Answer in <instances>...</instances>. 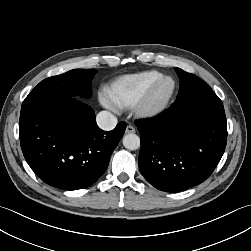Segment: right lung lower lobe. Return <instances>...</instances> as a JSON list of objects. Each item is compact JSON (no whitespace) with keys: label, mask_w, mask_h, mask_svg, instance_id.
<instances>
[{"label":"right lung lower lobe","mask_w":251,"mask_h":251,"mask_svg":"<svg viewBox=\"0 0 251 251\" xmlns=\"http://www.w3.org/2000/svg\"><path fill=\"white\" fill-rule=\"evenodd\" d=\"M126 129L101 130L93 109L73 97L30 93L21 107L23 155L45 183L64 190L89 187L105 172Z\"/></svg>","instance_id":"obj_1"}]
</instances>
